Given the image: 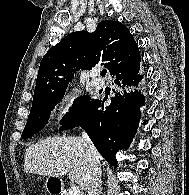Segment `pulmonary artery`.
<instances>
[{
	"label": "pulmonary artery",
	"mask_w": 189,
	"mask_h": 195,
	"mask_svg": "<svg viewBox=\"0 0 189 195\" xmlns=\"http://www.w3.org/2000/svg\"><path fill=\"white\" fill-rule=\"evenodd\" d=\"M91 85H92L93 88H95V89H102V88H104L105 83H104V81L98 79V78L96 77V75H94V77H93V79H92V81H91Z\"/></svg>",
	"instance_id": "pulmonary-artery-1"
}]
</instances>
